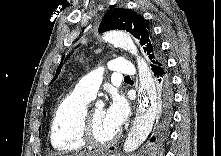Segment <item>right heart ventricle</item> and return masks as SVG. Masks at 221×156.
Masks as SVG:
<instances>
[{"label": "right heart ventricle", "mask_w": 221, "mask_h": 156, "mask_svg": "<svg viewBox=\"0 0 221 156\" xmlns=\"http://www.w3.org/2000/svg\"><path fill=\"white\" fill-rule=\"evenodd\" d=\"M91 99L74 89L58 104L53 113L50 129L51 144L58 152L72 153L85 148L80 127Z\"/></svg>", "instance_id": "e07e8e85"}]
</instances>
